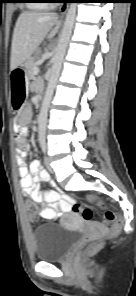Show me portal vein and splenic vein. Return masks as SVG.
Masks as SVG:
<instances>
[{
	"label": "portal vein and splenic vein",
	"instance_id": "obj_1",
	"mask_svg": "<svg viewBox=\"0 0 136 296\" xmlns=\"http://www.w3.org/2000/svg\"><path fill=\"white\" fill-rule=\"evenodd\" d=\"M39 72V68L38 67H34V74L37 75Z\"/></svg>",
	"mask_w": 136,
	"mask_h": 296
}]
</instances>
